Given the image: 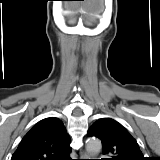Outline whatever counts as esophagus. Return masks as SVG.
<instances>
[{
  "label": "esophagus",
  "mask_w": 160,
  "mask_h": 160,
  "mask_svg": "<svg viewBox=\"0 0 160 160\" xmlns=\"http://www.w3.org/2000/svg\"><path fill=\"white\" fill-rule=\"evenodd\" d=\"M81 156H82L83 159H87L88 155L86 153H81Z\"/></svg>",
  "instance_id": "1"
}]
</instances>
